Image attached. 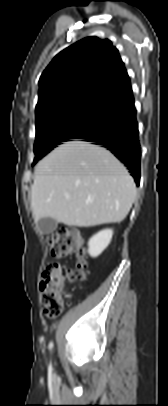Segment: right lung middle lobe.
<instances>
[{"label": "right lung middle lobe", "instance_id": "obj_1", "mask_svg": "<svg viewBox=\"0 0 168 406\" xmlns=\"http://www.w3.org/2000/svg\"><path fill=\"white\" fill-rule=\"evenodd\" d=\"M108 116L106 101L85 100L46 114L36 121L33 165L53 148L77 139Z\"/></svg>", "mask_w": 168, "mask_h": 406}]
</instances>
